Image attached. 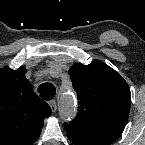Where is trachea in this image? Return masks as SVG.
Returning <instances> with one entry per match:
<instances>
[{
  "mask_svg": "<svg viewBox=\"0 0 145 145\" xmlns=\"http://www.w3.org/2000/svg\"><path fill=\"white\" fill-rule=\"evenodd\" d=\"M38 92L44 100H51L55 97L56 89L52 83H43L38 87Z\"/></svg>",
  "mask_w": 145,
  "mask_h": 145,
  "instance_id": "3493384b",
  "label": "trachea"
}]
</instances>
